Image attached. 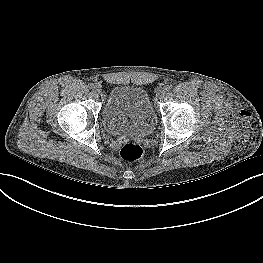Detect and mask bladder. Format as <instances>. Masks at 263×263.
I'll return each instance as SVG.
<instances>
[{
  "label": "bladder",
  "instance_id": "bladder-1",
  "mask_svg": "<svg viewBox=\"0 0 263 263\" xmlns=\"http://www.w3.org/2000/svg\"><path fill=\"white\" fill-rule=\"evenodd\" d=\"M101 120L109 134L146 136L152 133L156 116L142 88L115 85L108 93Z\"/></svg>",
  "mask_w": 263,
  "mask_h": 263
}]
</instances>
